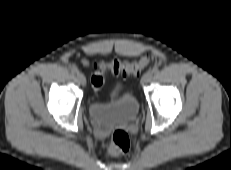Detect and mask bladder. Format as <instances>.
<instances>
[{
  "mask_svg": "<svg viewBox=\"0 0 231 170\" xmlns=\"http://www.w3.org/2000/svg\"><path fill=\"white\" fill-rule=\"evenodd\" d=\"M139 112V102L130 92L124 93L111 103L92 101L88 106V114L96 125L112 128L132 122Z\"/></svg>",
  "mask_w": 231,
  "mask_h": 170,
  "instance_id": "1",
  "label": "bladder"
}]
</instances>
